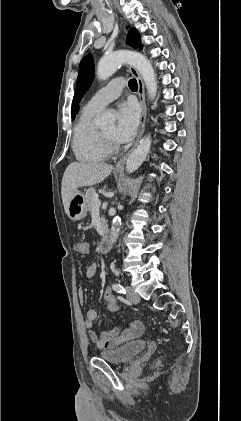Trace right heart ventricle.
<instances>
[{"label": "right heart ventricle", "mask_w": 241, "mask_h": 421, "mask_svg": "<svg viewBox=\"0 0 241 421\" xmlns=\"http://www.w3.org/2000/svg\"><path fill=\"white\" fill-rule=\"evenodd\" d=\"M97 112L86 105L74 127L72 149L79 161L101 162L110 154L102 140L101 131L93 122Z\"/></svg>", "instance_id": "obj_1"}]
</instances>
